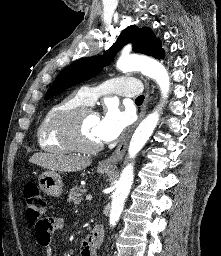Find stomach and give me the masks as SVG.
<instances>
[{
  "instance_id": "stomach-1",
  "label": "stomach",
  "mask_w": 221,
  "mask_h": 256,
  "mask_svg": "<svg viewBox=\"0 0 221 256\" xmlns=\"http://www.w3.org/2000/svg\"><path fill=\"white\" fill-rule=\"evenodd\" d=\"M110 168L98 167L99 173H108ZM62 179L60 175L54 171H46L39 177V187L47 195L51 197H59L62 194Z\"/></svg>"
}]
</instances>
